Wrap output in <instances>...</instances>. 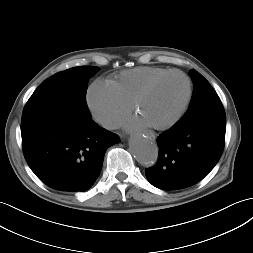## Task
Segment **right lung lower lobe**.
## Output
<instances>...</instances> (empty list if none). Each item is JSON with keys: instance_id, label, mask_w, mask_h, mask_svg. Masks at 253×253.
Wrapping results in <instances>:
<instances>
[{"instance_id": "obj_1", "label": "right lung lower lobe", "mask_w": 253, "mask_h": 253, "mask_svg": "<svg viewBox=\"0 0 253 253\" xmlns=\"http://www.w3.org/2000/svg\"><path fill=\"white\" fill-rule=\"evenodd\" d=\"M24 157L47 186L66 192L86 191L96 181L106 150L119 137L91 116L58 114L21 130Z\"/></svg>"}]
</instances>
